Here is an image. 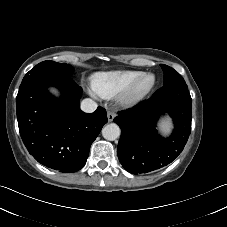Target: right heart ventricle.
Masks as SVG:
<instances>
[{
  "instance_id": "right-heart-ventricle-1",
  "label": "right heart ventricle",
  "mask_w": 227,
  "mask_h": 227,
  "mask_svg": "<svg viewBox=\"0 0 227 227\" xmlns=\"http://www.w3.org/2000/svg\"><path fill=\"white\" fill-rule=\"evenodd\" d=\"M142 73L138 70L99 72L93 75L91 83L99 95L110 98L125 91Z\"/></svg>"
}]
</instances>
